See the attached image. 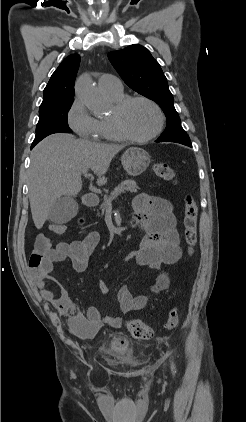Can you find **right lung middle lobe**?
<instances>
[{
  "instance_id": "obj_1",
  "label": "right lung middle lobe",
  "mask_w": 246,
  "mask_h": 422,
  "mask_svg": "<svg viewBox=\"0 0 246 422\" xmlns=\"http://www.w3.org/2000/svg\"><path fill=\"white\" fill-rule=\"evenodd\" d=\"M73 101L74 99L63 100L39 108V121L32 146L50 134L72 132L68 125V111Z\"/></svg>"
}]
</instances>
